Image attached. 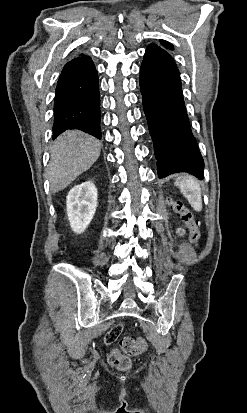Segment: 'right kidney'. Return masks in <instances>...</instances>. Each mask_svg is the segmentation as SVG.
Wrapping results in <instances>:
<instances>
[{"instance_id": "right-kidney-1", "label": "right kidney", "mask_w": 247, "mask_h": 413, "mask_svg": "<svg viewBox=\"0 0 247 413\" xmlns=\"http://www.w3.org/2000/svg\"><path fill=\"white\" fill-rule=\"evenodd\" d=\"M97 188L91 180L75 184L66 198L67 215L74 233H83L91 223L97 207Z\"/></svg>"}]
</instances>
